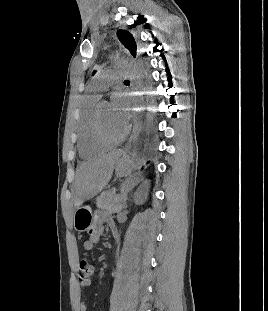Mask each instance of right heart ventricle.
I'll return each instance as SVG.
<instances>
[{
  "label": "right heart ventricle",
  "instance_id": "1",
  "mask_svg": "<svg viewBox=\"0 0 268 311\" xmlns=\"http://www.w3.org/2000/svg\"><path fill=\"white\" fill-rule=\"evenodd\" d=\"M99 96L96 94L87 95L83 101L78 114V151L82 158H92L103 151L108 146L100 144L93 134V118L98 106Z\"/></svg>",
  "mask_w": 268,
  "mask_h": 311
}]
</instances>
